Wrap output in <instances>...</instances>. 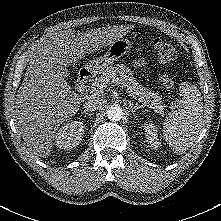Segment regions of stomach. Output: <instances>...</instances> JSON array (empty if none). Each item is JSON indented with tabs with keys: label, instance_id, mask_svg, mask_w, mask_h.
Listing matches in <instances>:
<instances>
[{
	"label": "stomach",
	"instance_id": "1",
	"mask_svg": "<svg viewBox=\"0 0 221 221\" xmlns=\"http://www.w3.org/2000/svg\"><path fill=\"white\" fill-rule=\"evenodd\" d=\"M132 48V42L127 39H117L111 43L108 51L101 57L91 60L86 68L93 73H102L107 67L113 64Z\"/></svg>",
	"mask_w": 221,
	"mask_h": 221
}]
</instances>
